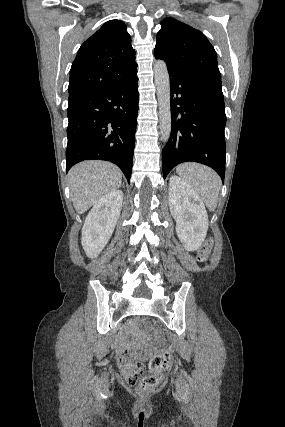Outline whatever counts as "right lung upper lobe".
Segmentation results:
<instances>
[{
    "instance_id": "right-lung-upper-lobe-1",
    "label": "right lung upper lobe",
    "mask_w": 285,
    "mask_h": 427,
    "mask_svg": "<svg viewBox=\"0 0 285 427\" xmlns=\"http://www.w3.org/2000/svg\"><path fill=\"white\" fill-rule=\"evenodd\" d=\"M136 74L135 50L125 23L108 21L82 44L72 63L68 102L124 84Z\"/></svg>"
}]
</instances>
